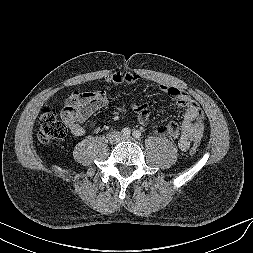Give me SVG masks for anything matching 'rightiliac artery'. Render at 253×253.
I'll list each match as a JSON object with an SVG mask.
<instances>
[{"instance_id":"right-iliac-artery-1","label":"right iliac artery","mask_w":253,"mask_h":253,"mask_svg":"<svg viewBox=\"0 0 253 253\" xmlns=\"http://www.w3.org/2000/svg\"><path fill=\"white\" fill-rule=\"evenodd\" d=\"M121 133L123 136H129L131 134V130L128 127H126L122 129Z\"/></svg>"}]
</instances>
